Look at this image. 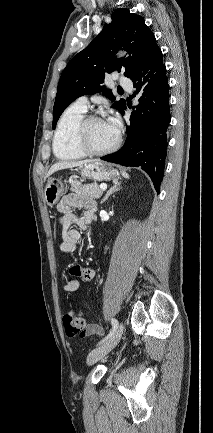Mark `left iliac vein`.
<instances>
[{
  "label": "left iliac vein",
  "mask_w": 213,
  "mask_h": 433,
  "mask_svg": "<svg viewBox=\"0 0 213 433\" xmlns=\"http://www.w3.org/2000/svg\"><path fill=\"white\" fill-rule=\"evenodd\" d=\"M123 324L117 327L116 331L102 345L93 349L87 356V364L93 365L107 355L120 341L123 334Z\"/></svg>",
  "instance_id": "1"
}]
</instances>
